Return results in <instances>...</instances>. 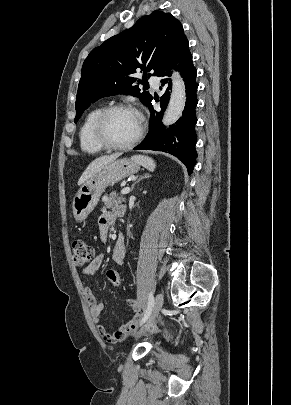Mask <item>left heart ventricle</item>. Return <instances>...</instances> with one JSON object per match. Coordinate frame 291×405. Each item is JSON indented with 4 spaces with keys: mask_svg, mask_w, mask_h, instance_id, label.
<instances>
[{
    "mask_svg": "<svg viewBox=\"0 0 291 405\" xmlns=\"http://www.w3.org/2000/svg\"><path fill=\"white\" fill-rule=\"evenodd\" d=\"M140 128V117L133 110L113 112L106 121L105 131L108 139L117 144L131 141Z\"/></svg>",
    "mask_w": 291,
    "mask_h": 405,
    "instance_id": "left-heart-ventricle-1",
    "label": "left heart ventricle"
}]
</instances>
